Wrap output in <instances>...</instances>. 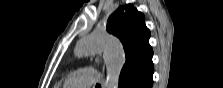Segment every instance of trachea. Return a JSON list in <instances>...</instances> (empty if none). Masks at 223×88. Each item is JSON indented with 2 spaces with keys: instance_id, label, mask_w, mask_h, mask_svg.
<instances>
[{
  "instance_id": "3493384b",
  "label": "trachea",
  "mask_w": 223,
  "mask_h": 88,
  "mask_svg": "<svg viewBox=\"0 0 223 88\" xmlns=\"http://www.w3.org/2000/svg\"><path fill=\"white\" fill-rule=\"evenodd\" d=\"M96 86H97V87H100V85H99V84H97Z\"/></svg>"
}]
</instances>
